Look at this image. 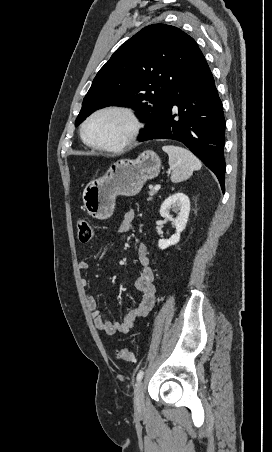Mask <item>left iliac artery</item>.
<instances>
[{
    "label": "left iliac artery",
    "instance_id": "44dca946",
    "mask_svg": "<svg viewBox=\"0 0 272 452\" xmlns=\"http://www.w3.org/2000/svg\"><path fill=\"white\" fill-rule=\"evenodd\" d=\"M143 375H144V371L140 370L137 374V378H136L137 382H139L143 378Z\"/></svg>",
    "mask_w": 272,
    "mask_h": 452
}]
</instances>
